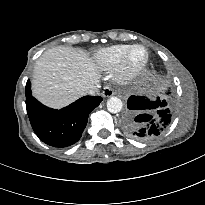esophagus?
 Returning a JSON list of instances; mask_svg holds the SVG:
<instances>
[{
	"label": "esophagus",
	"instance_id": "34e87169",
	"mask_svg": "<svg viewBox=\"0 0 205 205\" xmlns=\"http://www.w3.org/2000/svg\"><path fill=\"white\" fill-rule=\"evenodd\" d=\"M114 90L109 87V86H106L104 89H103V96L104 97H111L114 95Z\"/></svg>",
	"mask_w": 205,
	"mask_h": 205
}]
</instances>
